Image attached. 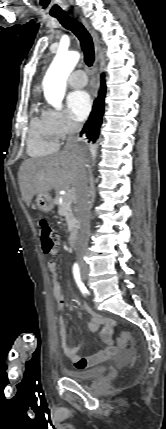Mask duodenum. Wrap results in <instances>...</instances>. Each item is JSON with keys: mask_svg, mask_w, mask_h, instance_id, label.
<instances>
[{"mask_svg": "<svg viewBox=\"0 0 166 429\" xmlns=\"http://www.w3.org/2000/svg\"><path fill=\"white\" fill-rule=\"evenodd\" d=\"M77 240H78V232L75 231L73 233H71V235L69 236V246L70 247H74L77 244Z\"/></svg>", "mask_w": 166, "mask_h": 429, "instance_id": "duodenum-1", "label": "duodenum"}]
</instances>
